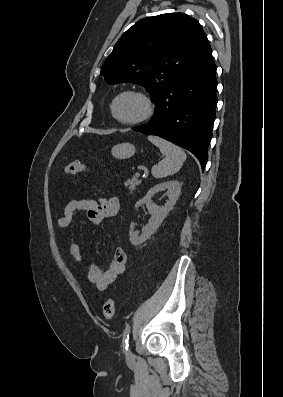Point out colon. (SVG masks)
<instances>
[{
    "label": "colon",
    "instance_id": "colon-1",
    "mask_svg": "<svg viewBox=\"0 0 283 397\" xmlns=\"http://www.w3.org/2000/svg\"><path fill=\"white\" fill-rule=\"evenodd\" d=\"M65 173L68 175H80V174H89V167L80 161H73L66 165L64 169ZM116 312L115 301L113 299H108L103 305V316L106 319H111L114 317Z\"/></svg>",
    "mask_w": 283,
    "mask_h": 397
}]
</instances>
